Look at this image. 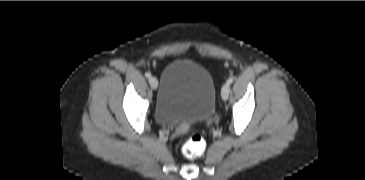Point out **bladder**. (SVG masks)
I'll use <instances>...</instances> for the list:
<instances>
[{
    "label": "bladder",
    "mask_w": 365,
    "mask_h": 180,
    "mask_svg": "<svg viewBox=\"0 0 365 180\" xmlns=\"http://www.w3.org/2000/svg\"><path fill=\"white\" fill-rule=\"evenodd\" d=\"M216 84L202 64L178 59L166 66L154 105V117L163 126H180L209 119L216 104Z\"/></svg>",
    "instance_id": "1"
}]
</instances>
